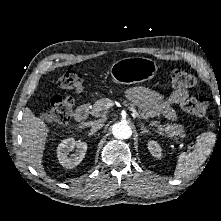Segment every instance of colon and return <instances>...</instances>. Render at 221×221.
<instances>
[{
	"label": "colon",
	"instance_id": "colon-1",
	"mask_svg": "<svg viewBox=\"0 0 221 221\" xmlns=\"http://www.w3.org/2000/svg\"><path fill=\"white\" fill-rule=\"evenodd\" d=\"M171 85L175 89H187L196 84V79L190 73L175 69L170 73ZM83 76L75 69H67L58 79V86L62 89H70L80 92L83 89ZM73 99L71 97H62L55 95L50 100V109L45 114V120L48 123L65 124L70 121L73 114ZM182 109L195 117H208V101L203 96L192 97L186 100ZM211 119V117H208Z\"/></svg>",
	"mask_w": 221,
	"mask_h": 221
}]
</instances>
